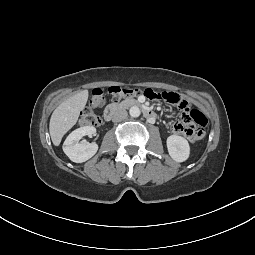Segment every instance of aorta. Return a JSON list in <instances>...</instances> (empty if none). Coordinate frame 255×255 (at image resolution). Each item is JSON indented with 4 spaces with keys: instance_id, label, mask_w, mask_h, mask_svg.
I'll use <instances>...</instances> for the list:
<instances>
[{
    "instance_id": "aorta-1",
    "label": "aorta",
    "mask_w": 255,
    "mask_h": 255,
    "mask_svg": "<svg viewBox=\"0 0 255 255\" xmlns=\"http://www.w3.org/2000/svg\"><path fill=\"white\" fill-rule=\"evenodd\" d=\"M140 113H141V111H140V109L137 106H133L129 110L130 116L134 117V118L139 117Z\"/></svg>"
}]
</instances>
